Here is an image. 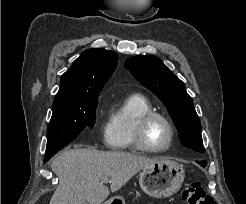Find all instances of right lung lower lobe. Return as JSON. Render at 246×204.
<instances>
[{
  "mask_svg": "<svg viewBox=\"0 0 246 204\" xmlns=\"http://www.w3.org/2000/svg\"><path fill=\"white\" fill-rule=\"evenodd\" d=\"M47 160H49V159H48V158H45V159H44V162H46Z\"/></svg>",
  "mask_w": 246,
  "mask_h": 204,
  "instance_id": "right-lung-lower-lobe-1",
  "label": "right lung lower lobe"
}]
</instances>
